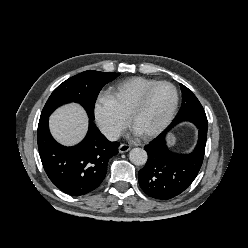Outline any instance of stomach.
<instances>
[{"label": "stomach", "mask_w": 248, "mask_h": 248, "mask_svg": "<svg viewBox=\"0 0 248 248\" xmlns=\"http://www.w3.org/2000/svg\"><path fill=\"white\" fill-rule=\"evenodd\" d=\"M169 144H170V145H174V144H175V137H174L173 135H171V136L169 137Z\"/></svg>", "instance_id": "0dacf381"}]
</instances>
